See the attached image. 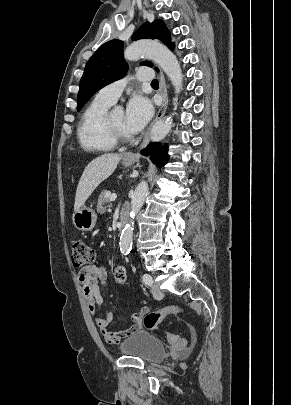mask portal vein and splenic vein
Listing matches in <instances>:
<instances>
[{"label": "portal vein and splenic vein", "mask_w": 291, "mask_h": 405, "mask_svg": "<svg viewBox=\"0 0 291 405\" xmlns=\"http://www.w3.org/2000/svg\"><path fill=\"white\" fill-rule=\"evenodd\" d=\"M117 198V195L115 193L110 195V201H115Z\"/></svg>", "instance_id": "1"}]
</instances>
